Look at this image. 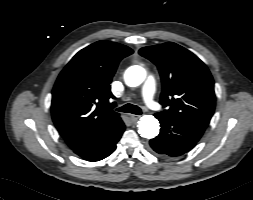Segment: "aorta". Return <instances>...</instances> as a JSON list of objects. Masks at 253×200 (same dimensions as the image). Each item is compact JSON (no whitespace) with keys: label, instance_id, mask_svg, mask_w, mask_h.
Segmentation results:
<instances>
[{"label":"aorta","instance_id":"aorta-1","mask_svg":"<svg viewBox=\"0 0 253 200\" xmlns=\"http://www.w3.org/2000/svg\"><path fill=\"white\" fill-rule=\"evenodd\" d=\"M146 77V71L143 67L134 65L127 69L124 79L125 83L130 87L140 85ZM159 122L152 115H144L138 122L139 134L147 139H152L159 134Z\"/></svg>","mask_w":253,"mask_h":200}]
</instances>
